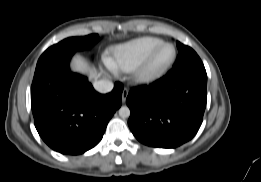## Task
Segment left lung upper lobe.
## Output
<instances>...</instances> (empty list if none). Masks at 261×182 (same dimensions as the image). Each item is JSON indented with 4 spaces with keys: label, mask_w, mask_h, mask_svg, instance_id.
<instances>
[{
    "label": "left lung upper lobe",
    "mask_w": 261,
    "mask_h": 182,
    "mask_svg": "<svg viewBox=\"0 0 261 182\" xmlns=\"http://www.w3.org/2000/svg\"><path fill=\"white\" fill-rule=\"evenodd\" d=\"M177 48L179 51L178 59L168 74L174 75L190 70L205 69L201 59L192 48L180 42H177Z\"/></svg>",
    "instance_id": "1"
}]
</instances>
